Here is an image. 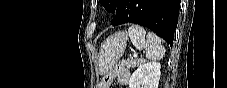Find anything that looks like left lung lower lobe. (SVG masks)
<instances>
[{
	"label": "left lung lower lobe",
	"mask_w": 227,
	"mask_h": 88,
	"mask_svg": "<svg viewBox=\"0 0 227 88\" xmlns=\"http://www.w3.org/2000/svg\"><path fill=\"white\" fill-rule=\"evenodd\" d=\"M179 8L180 0H122L111 24L135 23L145 26L172 46Z\"/></svg>",
	"instance_id": "obj_1"
}]
</instances>
